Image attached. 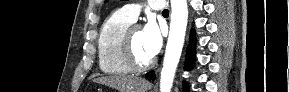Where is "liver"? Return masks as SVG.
<instances>
[{
  "instance_id": "6515ba94",
  "label": "liver",
  "mask_w": 289,
  "mask_h": 92,
  "mask_svg": "<svg viewBox=\"0 0 289 92\" xmlns=\"http://www.w3.org/2000/svg\"><path fill=\"white\" fill-rule=\"evenodd\" d=\"M93 82L110 86L119 92H146L150 89L149 83L138 77L107 76L95 78Z\"/></svg>"
}]
</instances>
